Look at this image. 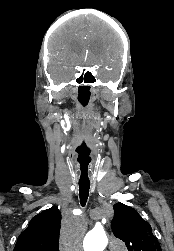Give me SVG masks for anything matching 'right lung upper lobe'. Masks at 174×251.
<instances>
[{
    "label": "right lung upper lobe",
    "instance_id": "right-lung-upper-lobe-1",
    "mask_svg": "<svg viewBox=\"0 0 174 251\" xmlns=\"http://www.w3.org/2000/svg\"><path fill=\"white\" fill-rule=\"evenodd\" d=\"M60 222L55 206L37 214L18 237L14 251H59Z\"/></svg>",
    "mask_w": 174,
    "mask_h": 251
}]
</instances>
